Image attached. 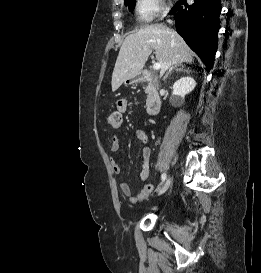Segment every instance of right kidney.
I'll return each mask as SVG.
<instances>
[{"label":"right kidney","instance_id":"right-kidney-1","mask_svg":"<svg viewBox=\"0 0 261 273\" xmlns=\"http://www.w3.org/2000/svg\"><path fill=\"white\" fill-rule=\"evenodd\" d=\"M196 86V82L192 77H182L173 85V99H184L185 95L190 93Z\"/></svg>","mask_w":261,"mask_h":273}]
</instances>
